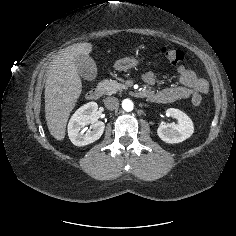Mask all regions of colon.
<instances>
[{"label":"colon","mask_w":236,"mask_h":236,"mask_svg":"<svg viewBox=\"0 0 236 236\" xmlns=\"http://www.w3.org/2000/svg\"><path fill=\"white\" fill-rule=\"evenodd\" d=\"M160 54L162 58L171 65H177L184 59V54L182 51L168 46L162 47ZM192 102L195 106H199L202 103L201 95L194 93L192 96Z\"/></svg>","instance_id":"1"}]
</instances>
